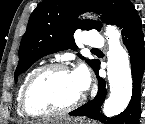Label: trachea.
Wrapping results in <instances>:
<instances>
[{
  "label": "trachea",
  "instance_id": "3493384b",
  "mask_svg": "<svg viewBox=\"0 0 145 124\" xmlns=\"http://www.w3.org/2000/svg\"><path fill=\"white\" fill-rule=\"evenodd\" d=\"M98 49H92V51H97Z\"/></svg>",
  "mask_w": 145,
  "mask_h": 124
}]
</instances>
